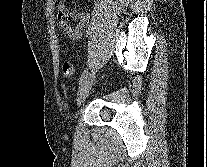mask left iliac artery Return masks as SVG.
Listing matches in <instances>:
<instances>
[{"label":"left iliac artery","instance_id":"44dca946","mask_svg":"<svg viewBox=\"0 0 207 167\" xmlns=\"http://www.w3.org/2000/svg\"><path fill=\"white\" fill-rule=\"evenodd\" d=\"M88 75V70H87V68L83 71V73H82V75H81V77H80V80H79V84H81L83 81H84V79L86 78V76Z\"/></svg>","mask_w":207,"mask_h":167}]
</instances>
